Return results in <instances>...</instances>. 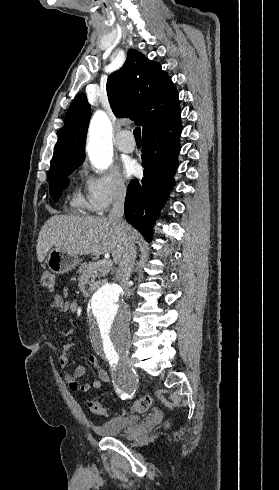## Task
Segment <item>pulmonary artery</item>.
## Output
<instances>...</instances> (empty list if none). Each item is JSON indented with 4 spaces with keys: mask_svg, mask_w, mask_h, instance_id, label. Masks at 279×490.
<instances>
[{
    "mask_svg": "<svg viewBox=\"0 0 279 490\" xmlns=\"http://www.w3.org/2000/svg\"><path fill=\"white\" fill-rule=\"evenodd\" d=\"M119 137H115L114 144L118 146V149L123 153H131L134 151L137 144L136 137H130V128H119Z\"/></svg>",
    "mask_w": 279,
    "mask_h": 490,
    "instance_id": "pulmonary-artery-1",
    "label": "pulmonary artery"
}]
</instances>
